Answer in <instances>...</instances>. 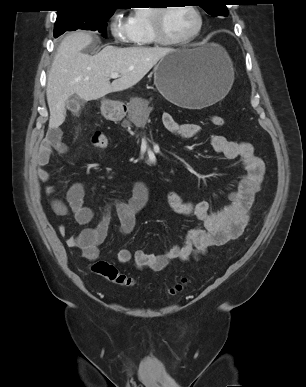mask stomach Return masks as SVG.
<instances>
[{
	"instance_id": "stomach-1",
	"label": "stomach",
	"mask_w": 306,
	"mask_h": 387,
	"mask_svg": "<svg viewBox=\"0 0 306 387\" xmlns=\"http://www.w3.org/2000/svg\"><path fill=\"white\" fill-rule=\"evenodd\" d=\"M233 81L232 63L217 44L173 50L154 68L158 91L168 101L188 109H201L224 98ZM101 112L111 121L126 114L123 103L109 99L102 100Z\"/></svg>"
}]
</instances>
